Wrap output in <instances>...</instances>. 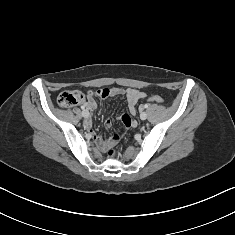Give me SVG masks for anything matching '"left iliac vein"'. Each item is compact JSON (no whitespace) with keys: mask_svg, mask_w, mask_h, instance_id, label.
I'll list each match as a JSON object with an SVG mask.
<instances>
[{"mask_svg":"<svg viewBox=\"0 0 235 235\" xmlns=\"http://www.w3.org/2000/svg\"><path fill=\"white\" fill-rule=\"evenodd\" d=\"M140 118H141L142 120H145V119L147 118V113H146V112H142V113L140 114Z\"/></svg>","mask_w":235,"mask_h":235,"instance_id":"1","label":"left iliac vein"}]
</instances>
